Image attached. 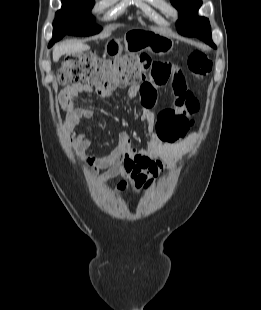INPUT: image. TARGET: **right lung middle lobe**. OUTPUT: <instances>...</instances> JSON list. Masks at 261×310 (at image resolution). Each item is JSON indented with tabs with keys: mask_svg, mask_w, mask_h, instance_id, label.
Here are the masks:
<instances>
[{
	"mask_svg": "<svg viewBox=\"0 0 261 310\" xmlns=\"http://www.w3.org/2000/svg\"><path fill=\"white\" fill-rule=\"evenodd\" d=\"M94 0H62V9L57 11L53 22V38L64 35L89 36L101 31L94 23L90 10Z\"/></svg>",
	"mask_w": 261,
	"mask_h": 310,
	"instance_id": "1",
	"label": "right lung middle lobe"
}]
</instances>
